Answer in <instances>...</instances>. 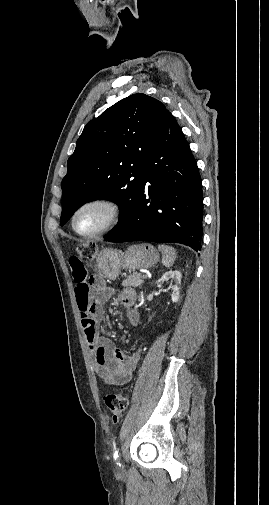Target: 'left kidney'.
I'll list each match as a JSON object with an SVG mask.
<instances>
[{
	"mask_svg": "<svg viewBox=\"0 0 269 505\" xmlns=\"http://www.w3.org/2000/svg\"><path fill=\"white\" fill-rule=\"evenodd\" d=\"M181 278H182V275H181L180 271L170 270V271L165 272L157 282L158 287H162V285L164 283L168 282L170 279L175 282V284L172 286L173 292L171 295L173 303L178 302L179 297H180V293H179L180 287L179 286L181 284Z\"/></svg>",
	"mask_w": 269,
	"mask_h": 505,
	"instance_id": "5707ae66",
	"label": "left kidney"
}]
</instances>
